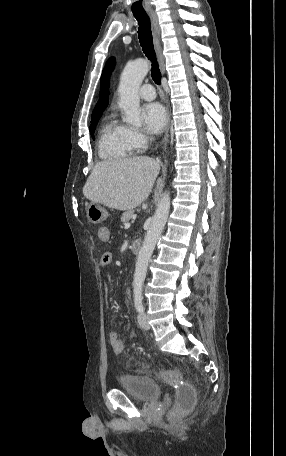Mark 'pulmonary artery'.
I'll list each match as a JSON object with an SVG mask.
<instances>
[{"mask_svg":"<svg viewBox=\"0 0 286 456\" xmlns=\"http://www.w3.org/2000/svg\"><path fill=\"white\" fill-rule=\"evenodd\" d=\"M139 95L142 99L150 101L155 99L156 92L154 87L151 84H144L139 89Z\"/></svg>","mask_w":286,"mask_h":456,"instance_id":"pulmonary-artery-1","label":"pulmonary artery"}]
</instances>
